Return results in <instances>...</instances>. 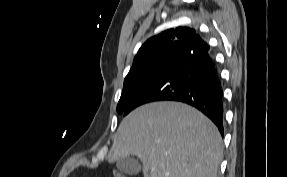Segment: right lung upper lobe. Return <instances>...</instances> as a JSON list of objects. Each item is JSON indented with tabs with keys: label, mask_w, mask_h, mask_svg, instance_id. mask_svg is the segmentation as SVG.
<instances>
[{
	"label": "right lung upper lobe",
	"mask_w": 287,
	"mask_h": 177,
	"mask_svg": "<svg viewBox=\"0 0 287 177\" xmlns=\"http://www.w3.org/2000/svg\"><path fill=\"white\" fill-rule=\"evenodd\" d=\"M197 36L195 30L189 27L168 29L153 36L138 50L127 76L170 56L184 60L196 50Z\"/></svg>",
	"instance_id": "obj_1"
}]
</instances>
